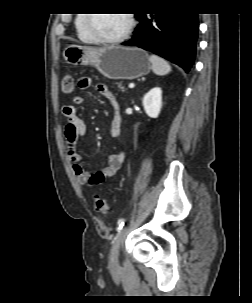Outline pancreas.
Instances as JSON below:
<instances>
[{
    "label": "pancreas",
    "mask_w": 252,
    "mask_h": 303,
    "mask_svg": "<svg viewBox=\"0 0 252 303\" xmlns=\"http://www.w3.org/2000/svg\"><path fill=\"white\" fill-rule=\"evenodd\" d=\"M118 88L121 89L122 91L125 90V87L121 83H118Z\"/></svg>",
    "instance_id": "pancreas-1"
}]
</instances>
